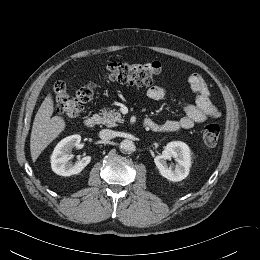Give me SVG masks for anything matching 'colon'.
<instances>
[{
  "instance_id": "colon-1",
  "label": "colon",
  "mask_w": 260,
  "mask_h": 260,
  "mask_svg": "<svg viewBox=\"0 0 260 260\" xmlns=\"http://www.w3.org/2000/svg\"><path fill=\"white\" fill-rule=\"evenodd\" d=\"M106 78L114 81L131 83L139 86L152 83L162 71L159 62L151 63H110L106 66ZM94 84L89 83L78 88L71 94L64 81H58L54 85V102L56 110L70 117H77L83 111L85 105L91 100ZM218 124H209L203 131V141L208 146H214L220 138Z\"/></svg>"
}]
</instances>
